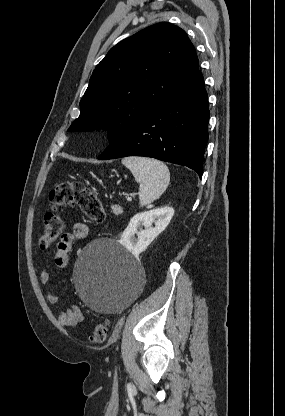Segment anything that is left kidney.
<instances>
[{
	"label": "left kidney",
	"instance_id": "5707ae66",
	"mask_svg": "<svg viewBox=\"0 0 285 416\" xmlns=\"http://www.w3.org/2000/svg\"><path fill=\"white\" fill-rule=\"evenodd\" d=\"M173 216L174 210L173 208H169V206L136 214V216L131 218L126 230H124L121 236L120 242L122 246L127 248L133 256H139L167 228ZM152 224H154V228H152ZM139 226H144V230L138 232ZM135 234L137 238H135Z\"/></svg>",
	"mask_w": 285,
	"mask_h": 416
}]
</instances>
